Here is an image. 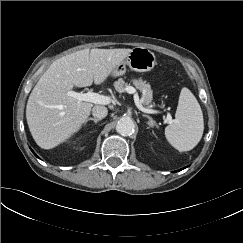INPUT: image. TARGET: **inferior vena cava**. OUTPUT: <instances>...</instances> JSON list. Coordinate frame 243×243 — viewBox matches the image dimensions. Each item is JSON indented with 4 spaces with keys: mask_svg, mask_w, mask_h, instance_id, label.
Here are the masks:
<instances>
[{
    "mask_svg": "<svg viewBox=\"0 0 243 243\" xmlns=\"http://www.w3.org/2000/svg\"><path fill=\"white\" fill-rule=\"evenodd\" d=\"M108 110L105 106L96 105L92 109V114L98 119H102L107 116Z\"/></svg>",
    "mask_w": 243,
    "mask_h": 243,
    "instance_id": "1",
    "label": "inferior vena cava"
}]
</instances>
